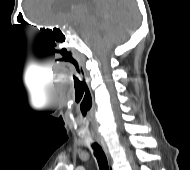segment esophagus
Instances as JSON below:
<instances>
[{
    "instance_id": "obj_1",
    "label": "esophagus",
    "mask_w": 190,
    "mask_h": 170,
    "mask_svg": "<svg viewBox=\"0 0 190 170\" xmlns=\"http://www.w3.org/2000/svg\"><path fill=\"white\" fill-rule=\"evenodd\" d=\"M96 139H97L98 143L101 145L103 151L108 155V148H107V145H106L104 139L101 136H97Z\"/></svg>"
}]
</instances>
